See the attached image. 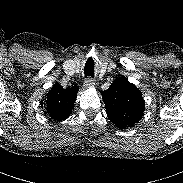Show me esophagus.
<instances>
[{
	"instance_id": "esophagus-1",
	"label": "esophagus",
	"mask_w": 183,
	"mask_h": 183,
	"mask_svg": "<svg viewBox=\"0 0 183 183\" xmlns=\"http://www.w3.org/2000/svg\"><path fill=\"white\" fill-rule=\"evenodd\" d=\"M95 85V81L92 79V78H87L85 81H84V86L87 87V88H91Z\"/></svg>"
}]
</instances>
